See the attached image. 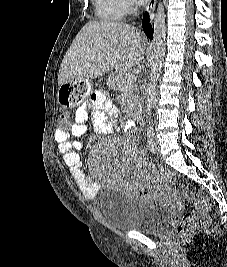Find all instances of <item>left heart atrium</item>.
<instances>
[{"instance_id":"1","label":"left heart atrium","mask_w":227,"mask_h":267,"mask_svg":"<svg viewBox=\"0 0 227 267\" xmlns=\"http://www.w3.org/2000/svg\"><path fill=\"white\" fill-rule=\"evenodd\" d=\"M136 1H138L139 3H144V2H146L148 0H136Z\"/></svg>"}]
</instances>
